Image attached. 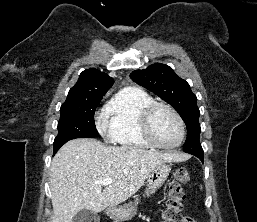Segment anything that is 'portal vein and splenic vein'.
I'll list each match as a JSON object with an SVG mask.
<instances>
[{"instance_id":"portal-vein-and-splenic-vein-1","label":"portal vein and splenic vein","mask_w":257,"mask_h":222,"mask_svg":"<svg viewBox=\"0 0 257 222\" xmlns=\"http://www.w3.org/2000/svg\"><path fill=\"white\" fill-rule=\"evenodd\" d=\"M97 184L101 185H110L112 183V178H105L101 181L96 182Z\"/></svg>"}]
</instances>
